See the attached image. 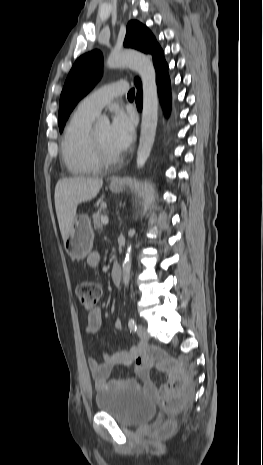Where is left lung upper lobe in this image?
Listing matches in <instances>:
<instances>
[{
	"label": "left lung upper lobe",
	"mask_w": 263,
	"mask_h": 465,
	"mask_svg": "<svg viewBox=\"0 0 263 465\" xmlns=\"http://www.w3.org/2000/svg\"><path fill=\"white\" fill-rule=\"evenodd\" d=\"M124 46L146 54H152L159 44L150 30L136 20L127 25ZM102 54L98 50L80 56L74 63L65 81L59 106V130H63L73 108L97 83L101 77Z\"/></svg>",
	"instance_id": "left-lung-upper-lobe-1"
}]
</instances>
